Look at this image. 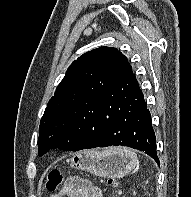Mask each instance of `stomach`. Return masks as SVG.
I'll list each match as a JSON object with an SVG mask.
<instances>
[{
	"label": "stomach",
	"mask_w": 191,
	"mask_h": 197,
	"mask_svg": "<svg viewBox=\"0 0 191 197\" xmlns=\"http://www.w3.org/2000/svg\"><path fill=\"white\" fill-rule=\"evenodd\" d=\"M120 148H110L104 151L84 150L75 154L71 166L100 177L121 178L127 175L136 162L120 153Z\"/></svg>",
	"instance_id": "stomach-1"
}]
</instances>
